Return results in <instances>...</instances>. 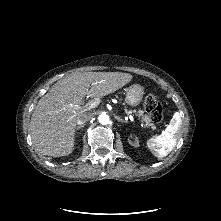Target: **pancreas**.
<instances>
[{
    "label": "pancreas",
    "instance_id": "1",
    "mask_svg": "<svg viewBox=\"0 0 221 221\" xmlns=\"http://www.w3.org/2000/svg\"><path fill=\"white\" fill-rule=\"evenodd\" d=\"M143 110L138 111V115L141 118V121L144 122V126L147 128H155L154 123H152L151 117L147 114H143Z\"/></svg>",
    "mask_w": 221,
    "mask_h": 221
}]
</instances>
